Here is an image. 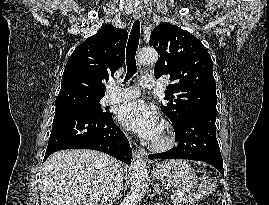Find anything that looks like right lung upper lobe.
I'll return each mask as SVG.
<instances>
[{"instance_id": "1", "label": "right lung upper lobe", "mask_w": 269, "mask_h": 205, "mask_svg": "<svg viewBox=\"0 0 269 205\" xmlns=\"http://www.w3.org/2000/svg\"><path fill=\"white\" fill-rule=\"evenodd\" d=\"M127 38L126 30L108 24L78 45L64 69L56 107L101 100L102 81L124 62Z\"/></svg>"}]
</instances>
